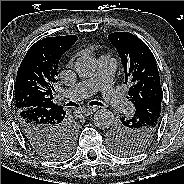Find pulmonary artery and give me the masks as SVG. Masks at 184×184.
Instances as JSON below:
<instances>
[{"instance_id":"1","label":"pulmonary artery","mask_w":184,"mask_h":184,"mask_svg":"<svg viewBox=\"0 0 184 184\" xmlns=\"http://www.w3.org/2000/svg\"><path fill=\"white\" fill-rule=\"evenodd\" d=\"M116 66L117 62L113 57L109 55L101 56L99 58V68L95 75L67 89V96L73 99H81L101 90L104 100L115 113H131L132 106L130 102L113 86L112 80Z\"/></svg>"}]
</instances>
